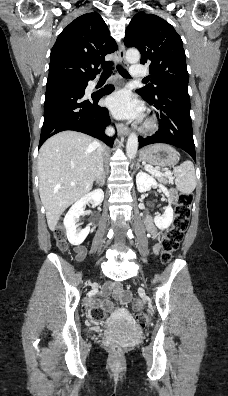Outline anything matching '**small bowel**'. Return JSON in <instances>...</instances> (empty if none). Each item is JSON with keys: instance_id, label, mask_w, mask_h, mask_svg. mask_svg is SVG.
<instances>
[{"instance_id": "1", "label": "small bowel", "mask_w": 228, "mask_h": 396, "mask_svg": "<svg viewBox=\"0 0 228 396\" xmlns=\"http://www.w3.org/2000/svg\"><path fill=\"white\" fill-rule=\"evenodd\" d=\"M151 225L153 226V224L151 222H149L148 230L150 232L154 233L155 232V228H154L153 231H151L149 229V227ZM159 250H160V245L157 244L155 246V251L158 252ZM76 252H77L78 256H81V255L84 254L85 249L83 247H78ZM111 292L113 293L115 299L118 300L121 304L127 303L129 301L130 297H131V294L128 291H124L120 284H110V283L106 284L104 289H103V294L105 296H108ZM92 306H101L106 311H113L114 310L113 304L107 298L102 300V301L93 300L92 301Z\"/></svg>"}]
</instances>
